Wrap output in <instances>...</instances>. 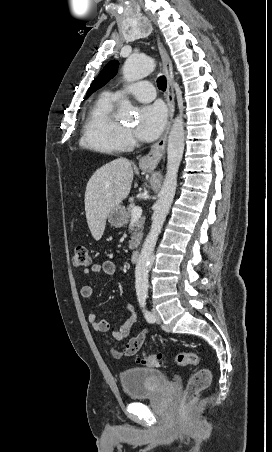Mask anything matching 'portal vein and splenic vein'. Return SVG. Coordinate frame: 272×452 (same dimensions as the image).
<instances>
[{
  "label": "portal vein and splenic vein",
  "mask_w": 272,
  "mask_h": 452,
  "mask_svg": "<svg viewBox=\"0 0 272 452\" xmlns=\"http://www.w3.org/2000/svg\"><path fill=\"white\" fill-rule=\"evenodd\" d=\"M142 215V208L139 206H134L132 208V219L140 218Z\"/></svg>",
  "instance_id": "18ae733b"
}]
</instances>
